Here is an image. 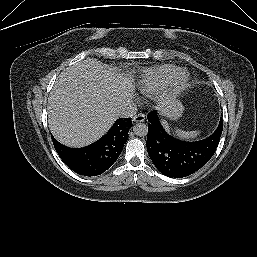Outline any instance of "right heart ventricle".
Wrapping results in <instances>:
<instances>
[{"label":"right heart ventricle","instance_id":"obj_1","mask_svg":"<svg viewBox=\"0 0 257 257\" xmlns=\"http://www.w3.org/2000/svg\"><path fill=\"white\" fill-rule=\"evenodd\" d=\"M178 70L174 65L164 64L143 71L138 81V90L147 97L159 94L169 78Z\"/></svg>","mask_w":257,"mask_h":257}]
</instances>
